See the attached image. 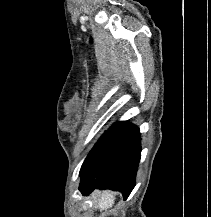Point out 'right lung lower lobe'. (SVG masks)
<instances>
[{"instance_id": "right-lung-lower-lobe-1", "label": "right lung lower lobe", "mask_w": 211, "mask_h": 217, "mask_svg": "<svg viewBox=\"0 0 211 217\" xmlns=\"http://www.w3.org/2000/svg\"><path fill=\"white\" fill-rule=\"evenodd\" d=\"M141 157V134L129 121L114 124L95 144L80 171L79 190L87 195L94 189L120 191L124 200L135 185Z\"/></svg>"}]
</instances>
